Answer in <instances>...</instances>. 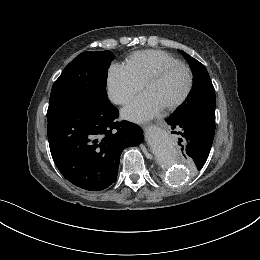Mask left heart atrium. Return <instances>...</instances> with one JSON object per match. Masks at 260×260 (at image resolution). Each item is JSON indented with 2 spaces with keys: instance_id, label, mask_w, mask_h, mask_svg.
<instances>
[{
  "instance_id": "39dd6f15",
  "label": "left heart atrium",
  "mask_w": 260,
  "mask_h": 260,
  "mask_svg": "<svg viewBox=\"0 0 260 260\" xmlns=\"http://www.w3.org/2000/svg\"><path fill=\"white\" fill-rule=\"evenodd\" d=\"M163 107L147 92L134 99L124 110L123 115L134 121L147 120L157 115Z\"/></svg>"
}]
</instances>
